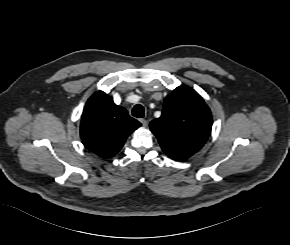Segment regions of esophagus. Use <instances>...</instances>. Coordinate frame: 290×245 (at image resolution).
<instances>
[{"instance_id": "obj_1", "label": "esophagus", "mask_w": 290, "mask_h": 245, "mask_svg": "<svg viewBox=\"0 0 290 245\" xmlns=\"http://www.w3.org/2000/svg\"><path fill=\"white\" fill-rule=\"evenodd\" d=\"M140 122L144 127L148 126V121L146 119H140Z\"/></svg>"}]
</instances>
